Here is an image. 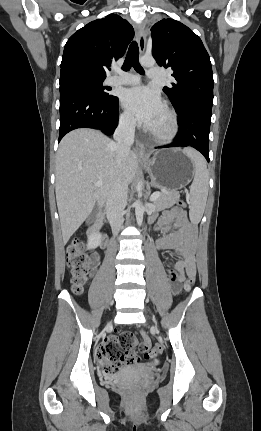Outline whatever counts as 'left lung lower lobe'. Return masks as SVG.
Instances as JSON below:
<instances>
[{
	"instance_id": "obj_1",
	"label": "left lung lower lobe",
	"mask_w": 261,
	"mask_h": 431,
	"mask_svg": "<svg viewBox=\"0 0 261 431\" xmlns=\"http://www.w3.org/2000/svg\"><path fill=\"white\" fill-rule=\"evenodd\" d=\"M212 104L196 103L178 113L179 131L176 139L162 147L192 146L209 162V130Z\"/></svg>"
}]
</instances>
